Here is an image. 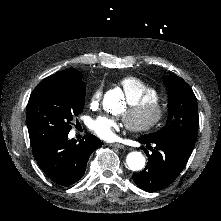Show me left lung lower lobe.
<instances>
[{
	"mask_svg": "<svg viewBox=\"0 0 221 221\" xmlns=\"http://www.w3.org/2000/svg\"><path fill=\"white\" fill-rule=\"evenodd\" d=\"M138 142L152 150L150 155L144 146L140 147L148 156V163L144 170L132 176L137 186L147 192H156L170 185L185 167L193 150L171 136L149 138L143 135ZM151 144L155 145L154 149Z\"/></svg>",
	"mask_w": 221,
	"mask_h": 221,
	"instance_id": "1",
	"label": "left lung lower lobe"
}]
</instances>
